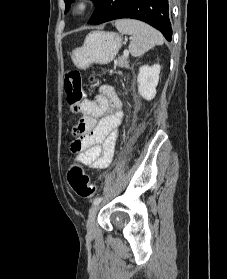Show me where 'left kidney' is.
Returning a JSON list of instances; mask_svg holds the SVG:
<instances>
[{"mask_svg":"<svg viewBox=\"0 0 227 279\" xmlns=\"http://www.w3.org/2000/svg\"><path fill=\"white\" fill-rule=\"evenodd\" d=\"M160 65H144L140 67L137 82L138 92L146 100H152L156 95V87L159 81Z\"/></svg>","mask_w":227,"mask_h":279,"instance_id":"left-kidney-1","label":"left kidney"}]
</instances>
